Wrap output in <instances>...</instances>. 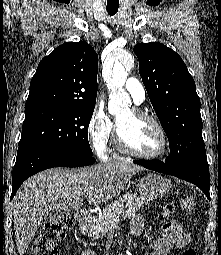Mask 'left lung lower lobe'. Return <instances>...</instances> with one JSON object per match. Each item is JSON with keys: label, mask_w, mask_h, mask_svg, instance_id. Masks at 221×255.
<instances>
[{"label": "left lung lower lobe", "mask_w": 221, "mask_h": 255, "mask_svg": "<svg viewBox=\"0 0 221 255\" xmlns=\"http://www.w3.org/2000/svg\"><path fill=\"white\" fill-rule=\"evenodd\" d=\"M147 169L161 172L168 175L176 176L198 186L210 199V181H209V165L206 158L194 160L172 166L169 163L161 161H133Z\"/></svg>", "instance_id": "1"}]
</instances>
